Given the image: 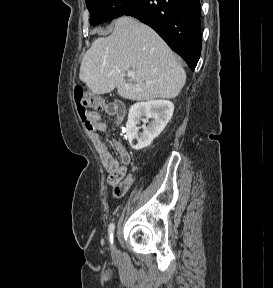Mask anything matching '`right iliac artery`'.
<instances>
[{
  "mask_svg": "<svg viewBox=\"0 0 273 288\" xmlns=\"http://www.w3.org/2000/svg\"><path fill=\"white\" fill-rule=\"evenodd\" d=\"M114 230H115V225H114V223H111L109 225V228H108L109 241H110L111 244H113V233H114Z\"/></svg>",
  "mask_w": 273,
  "mask_h": 288,
  "instance_id": "82829eb1",
  "label": "right iliac artery"
}]
</instances>
